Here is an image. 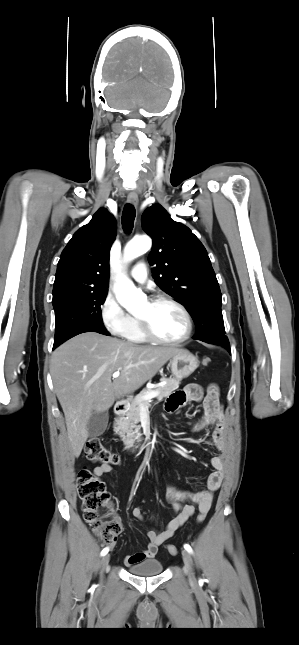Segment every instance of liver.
<instances>
[{
	"label": "liver",
	"instance_id": "1",
	"mask_svg": "<svg viewBox=\"0 0 299 645\" xmlns=\"http://www.w3.org/2000/svg\"><path fill=\"white\" fill-rule=\"evenodd\" d=\"M179 352L172 346H140L95 332L60 345L52 354L50 371L74 456L81 454L94 412L107 411L115 400L139 389ZM116 371L121 373L113 378Z\"/></svg>",
	"mask_w": 299,
	"mask_h": 645
}]
</instances>
